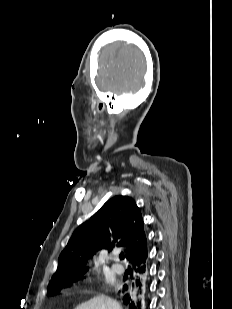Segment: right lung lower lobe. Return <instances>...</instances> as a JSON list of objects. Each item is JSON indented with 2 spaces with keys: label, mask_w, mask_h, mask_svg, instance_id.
Here are the masks:
<instances>
[{
  "label": "right lung lower lobe",
  "mask_w": 232,
  "mask_h": 309,
  "mask_svg": "<svg viewBox=\"0 0 232 309\" xmlns=\"http://www.w3.org/2000/svg\"><path fill=\"white\" fill-rule=\"evenodd\" d=\"M147 253L145 256H142L139 260L133 263V268L136 272L134 282L129 285L124 284L122 293V299L124 303H126L130 309H143L145 308L144 302H142V298L140 297L144 290V273L146 270V259ZM131 288H134V293L131 295Z\"/></svg>",
  "instance_id": "right-lung-lower-lobe-1"
}]
</instances>
